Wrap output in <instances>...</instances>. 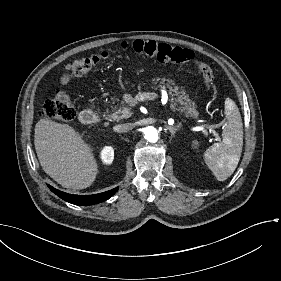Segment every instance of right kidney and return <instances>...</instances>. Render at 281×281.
<instances>
[{
    "instance_id": "obj_1",
    "label": "right kidney",
    "mask_w": 281,
    "mask_h": 281,
    "mask_svg": "<svg viewBox=\"0 0 281 281\" xmlns=\"http://www.w3.org/2000/svg\"><path fill=\"white\" fill-rule=\"evenodd\" d=\"M102 158L105 163H110L114 159V152L111 147H106L102 151Z\"/></svg>"
}]
</instances>
